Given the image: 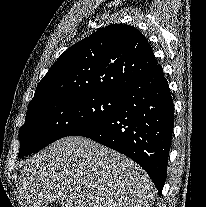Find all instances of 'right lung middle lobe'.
Returning a JSON list of instances; mask_svg holds the SVG:
<instances>
[{
  "instance_id": "dd1d6c3e",
  "label": "right lung middle lobe",
  "mask_w": 206,
  "mask_h": 207,
  "mask_svg": "<svg viewBox=\"0 0 206 207\" xmlns=\"http://www.w3.org/2000/svg\"><path fill=\"white\" fill-rule=\"evenodd\" d=\"M122 104V94L75 95L51 98L28 108L20 128L19 156L91 128L112 116Z\"/></svg>"
}]
</instances>
